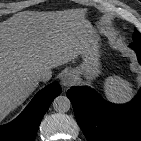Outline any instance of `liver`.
Masks as SVG:
<instances>
[{
	"mask_svg": "<svg viewBox=\"0 0 141 141\" xmlns=\"http://www.w3.org/2000/svg\"><path fill=\"white\" fill-rule=\"evenodd\" d=\"M92 31L83 9L24 11L0 22V121L38 87L37 71L77 58Z\"/></svg>",
	"mask_w": 141,
	"mask_h": 141,
	"instance_id": "liver-1",
	"label": "liver"
}]
</instances>
